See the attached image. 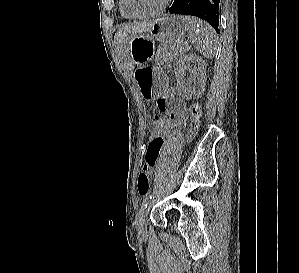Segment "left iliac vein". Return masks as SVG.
<instances>
[{
    "mask_svg": "<svg viewBox=\"0 0 299 273\" xmlns=\"http://www.w3.org/2000/svg\"><path fill=\"white\" fill-rule=\"evenodd\" d=\"M150 205H148L146 208H141V210L138 212L136 216V228L139 233V235L144 236L146 234V223L145 219L149 213Z\"/></svg>",
    "mask_w": 299,
    "mask_h": 273,
    "instance_id": "4c4485c4",
    "label": "left iliac vein"
}]
</instances>
